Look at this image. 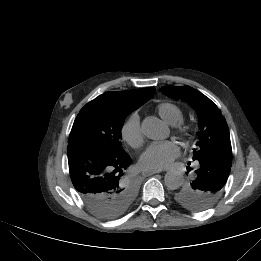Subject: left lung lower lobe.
<instances>
[{"mask_svg":"<svg viewBox=\"0 0 261 261\" xmlns=\"http://www.w3.org/2000/svg\"><path fill=\"white\" fill-rule=\"evenodd\" d=\"M216 168L217 167H214L213 163L208 161H202L199 165V168L196 170V176L193 181H206L208 180V178L225 180L228 178L231 165H228L226 167H219L221 169L220 171H216ZM208 189L209 188L206 187L204 188V190Z\"/></svg>","mask_w":261,"mask_h":261,"instance_id":"1","label":"left lung lower lobe"}]
</instances>
